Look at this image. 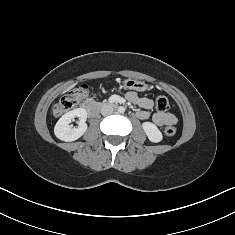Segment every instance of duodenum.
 Here are the masks:
<instances>
[{
	"label": "duodenum",
	"mask_w": 235,
	"mask_h": 235,
	"mask_svg": "<svg viewBox=\"0 0 235 235\" xmlns=\"http://www.w3.org/2000/svg\"><path fill=\"white\" fill-rule=\"evenodd\" d=\"M106 106H111V107L116 108V107H118V104L111 103V104H106ZM82 107L90 117H94L98 114V112L101 109L102 105L99 104V103H94V102H86V103L83 104Z\"/></svg>",
	"instance_id": "410a0bca"
}]
</instances>
